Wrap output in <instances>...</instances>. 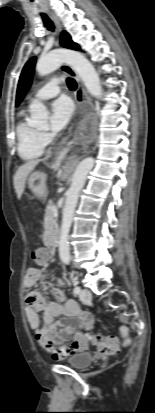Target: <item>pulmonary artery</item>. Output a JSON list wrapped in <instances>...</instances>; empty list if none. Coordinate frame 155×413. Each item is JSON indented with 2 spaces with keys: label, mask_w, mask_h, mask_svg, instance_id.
<instances>
[{
  "label": "pulmonary artery",
  "mask_w": 155,
  "mask_h": 413,
  "mask_svg": "<svg viewBox=\"0 0 155 413\" xmlns=\"http://www.w3.org/2000/svg\"><path fill=\"white\" fill-rule=\"evenodd\" d=\"M63 82L64 80L61 77L49 79L34 93L33 99L46 100L57 96L60 93V84Z\"/></svg>",
  "instance_id": "pulmonary-artery-1"
}]
</instances>
